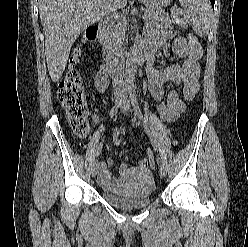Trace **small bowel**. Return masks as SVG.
<instances>
[{
    "label": "small bowel",
    "instance_id": "small-bowel-1",
    "mask_svg": "<svg viewBox=\"0 0 248 247\" xmlns=\"http://www.w3.org/2000/svg\"><path fill=\"white\" fill-rule=\"evenodd\" d=\"M174 32L171 30L155 32L149 36L142 44V48L149 52L148 64V89L152 98L156 102L163 99V86L168 82L181 84L182 91L171 90L166 98V103L169 110V121L176 119L184 110L187 101L192 100L199 90V76L200 65L199 61L202 57L203 51L199 43L188 42L184 37H177L174 39L172 49L174 53L184 59L181 66L176 64H169L160 67L156 63V57L160 51L163 54L169 53V41L173 38ZM108 71L103 65L95 76V87L103 93L108 85ZM94 121L98 123V118L94 117ZM124 130L117 128L113 132V141L115 144H120L123 140ZM132 150L129 149L126 154V159L129 158ZM114 161L110 157L107 163L101 162L99 164V182L108 189H117L120 178H115L108 167L113 165ZM147 157H141L136 164L122 163L119 168L120 176L126 173L129 169L145 168L148 165Z\"/></svg>",
    "mask_w": 248,
    "mask_h": 247
}]
</instances>
